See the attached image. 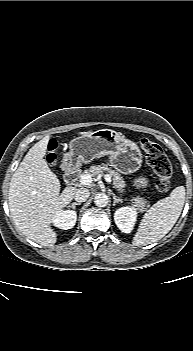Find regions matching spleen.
Wrapping results in <instances>:
<instances>
[{
  "instance_id": "spleen-1",
  "label": "spleen",
  "mask_w": 193,
  "mask_h": 351,
  "mask_svg": "<svg viewBox=\"0 0 193 351\" xmlns=\"http://www.w3.org/2000/svg\"><path fill=\"white\" fill-rule=\"evenodd\" d=\"M185 203V187L178 186L169 197L156 202L143 216L133 245H147L163 238L177 222Z\"/></svg>"
}]
</instances>
